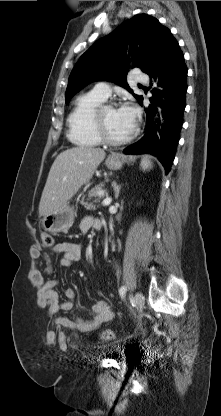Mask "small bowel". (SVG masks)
I'll return each mask as SVG.
<instances>
[{"label":"small bowel","instance_id":"obj_1","mask_svg":"<svg viewBox=\"0 0 221 416\" xmlns=\"http://www.w3.org/2000/svg\"><path fill=\"white\" fill-rule=\"evenodd\" d=\"M101 222L93 217H85L80 223V230L86 233L90 229L99 230ZM54 254H60V265L69 267L80 260L82 256V246L76 242H62L55 244L50 248ZM33 257L36 260L35 266L31 271L32 282L40 288L39 303L44 305L49 314L54 315L58 311H69L73 308L75 291L71 288L65 290V300L61 301L57 287L59 281L57 279H45L42 272L38 269V259L41 255L39 250L33 251ZM46 262V273L52 272L51 259L48 253L43 255ZM114 312L106 300H98L92 306V317L90 319H83L75 317L69 319L67 317H58L57 323L61 327L77 330L82 333H88L98 329L102 324L113 319Z\"/></svg>","mask_w":221,"mask_h":416}]
</instances>
